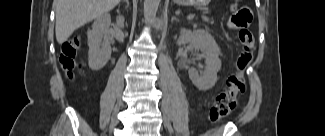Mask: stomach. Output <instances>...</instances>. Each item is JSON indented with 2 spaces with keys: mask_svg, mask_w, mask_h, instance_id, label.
I'll return each mask as SVG.
<instances>
[{
  "mask_svg": "<svg viewBox=\"0 0 325 136\" xmlns=\"http://www.w3.org/2000/svg\"><path fill=\"white\" fill-rule=\"evenodd\" d=\"M176 4L184 5V6H206L210 0H174Z\"/></svg>",
  "mask_w": 325,
  "mask_h": 136,
  "instance_id": "obj_1",
  "label": "stomach"
}]
</instances>
